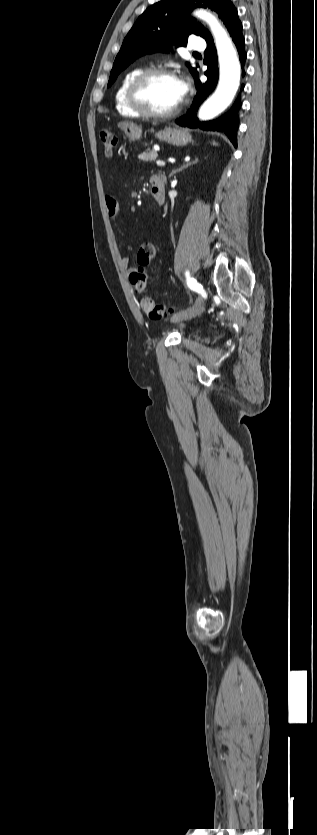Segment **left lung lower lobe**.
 Listing matches in <instances>:
<instances>
[{
    "label": "left lung lower lobe",
    "instance_id": "left-lung-lower-lobe-1",
    "mask_svg": "<svg viewBox=\"0 0 317 835\" xmlns=\"http://www.w3.org/2000/svg\"><path fill=\"white\" fill-rule=\"evenodd\" d=\"M224 12H227L229 15L225 22V25L232 37L233 42L235 43L238 53L239 59L241 62L242 69L244 68L245 60H246V52L244 50V37L242 35V23L238 18L237 9L234 7L231 1H229L224 9ZM207 42V49L205 50V58L204 63L208 66L205 75L207 76V81L204 84L198 80V73L196 72L193 76L196 80V88L197 94L192 102L190 109L187 112V115L181 117L176 121L177 124L181 126H187L190 128H200L202 130L207 131H220L224 132L234 146H237V128H238V110L240 108V98L238 97L235 101L234 105L231 109L226 112L220 118L213 120V121H206L200 122L195 114V111L198 109L200 104L205 100V98L214 90L217 81H218V68H217V52L215 45L213 43L212 36L206 40ZM242 75H245V72H242ZM243 88V86H242Z\"/></svg>",
    "mask_w": 317,
    "mask_h": 835
}]
</instances>
